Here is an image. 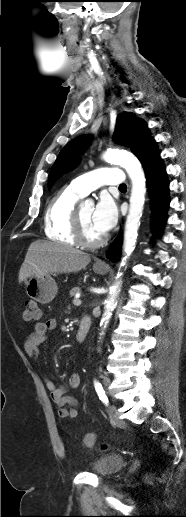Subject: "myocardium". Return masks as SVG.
I'll list each match as a JSON object with an SVG mask.
<instances>
[{
	"label": "myocardium",
	"mask_w": 186,
	"mask_h": 517,
	"mask_svg": "<svg viewBox=\"0 0 186 517\" xmlns=\"http://www.w3.org/2000/svg\"><path fill=\"white\" fill-rule=\"evenodd\" d=\"M74 236L78 244L89 248L99 247L106 240L104 235L92 239L85 234L84 226L78 209H76L74 213Z\"/></svg>",
	"instance_id": "f54148a6"
}]
</instances>
